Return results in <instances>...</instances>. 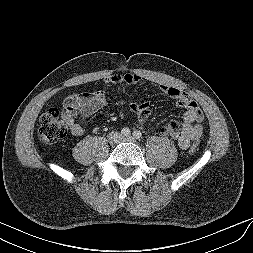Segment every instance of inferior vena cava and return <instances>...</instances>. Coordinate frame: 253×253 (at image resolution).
<instances>
[{
  "label": "inferior vena cava",
  "mask_w": 253,
  "mask_h": 253,
  "mask_svg": "<svg viewBox=\"0 0 253 253\" xmlns=\"http://www.w3.org/2000/svg\"><path fill=\"white\" fill-rule=\"evenodd\" d=\"M108 138H109V140H112V141H114V142H118L120 136H119V133H118V132H112V133H110V134L108 135Z\"/></svg>",
  "instance_id": "obj_1"
}]
</instances>
